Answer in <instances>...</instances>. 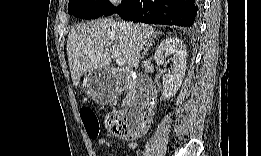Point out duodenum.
<instances>
[{
    "label": "duodenum",
    "mask_w": 261,
    "mask_h": 156,
    "mask_svg": "<svg viewBox=\"0 0 261 156\" xmlns=\"http://www.w3.org/2000/svg\"><path fill=\"white\" fill-rule=\"evenodd\" d=\"M114 75L119 81H125L128 74L123 69H113ZM155 89L153 85L145 79L139 81L137 93L130 99L129 121L133 125L150 121L154 114Z\"/></svg>",
    "instance_id": "obj_1"
}]
</instances>
